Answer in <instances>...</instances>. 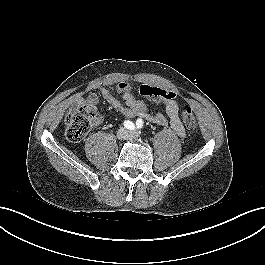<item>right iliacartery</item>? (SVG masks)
<instances>
[{
    "label": "right iliac artery",
    "instance_id": "obj_1",
    "mask_svg": "<svg viewBox=\"0 0 265 265\" xmlns=\"http://www.w3.org/2000/svg\"><path fill=\"white\" fill-rule=\"evenodd\" d=\"M124 126L129 129V130H134L135 129V125L132 121L130 120H125L124 121Z\"/></svg>",
    "mask_w": 265,
    "mask_h": 265
}]
</instances>
